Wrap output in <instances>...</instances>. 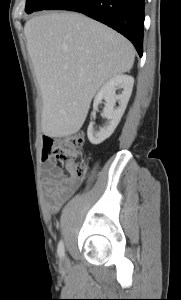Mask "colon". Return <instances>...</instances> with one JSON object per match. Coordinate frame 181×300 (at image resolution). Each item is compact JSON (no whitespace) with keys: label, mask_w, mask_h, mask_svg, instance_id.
I'll return each mask as SVG.
<instances>
[{"label":"colon","mask_w":181,"mask_h":300,"mask_svg":"<svg viewBox=\"0 0 181 300\" xmlns=\"http://www.w3.org/2000/svg\"><path fill=\"white\" fill-rule=\"evenodd\" d=\"M83 137L80 134L47 138L44 141V157L55 156L65 166L72 178L82 179L87 171V165L81 158Z\"/></svg>","instance_id":"5ec220e1"}]
</instances>
